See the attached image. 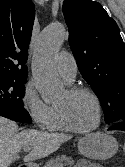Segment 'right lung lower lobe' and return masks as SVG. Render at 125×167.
Instances as JSON below:
<instances>
[{"label":"right lung lower lobe","mask_w":125,"mask_h":167,"mask_svg":"<svg viewBox=\"0 0 125 167\" xmlns=\"http://www.w3.org/2000/svg\"><path fill=\"white\" fill-rule=\"evenodd\" d=\"M0 116L19 122H31L29 113L19 106H14L6 102H0Z\"/></svg>","instance_id":"98d812e1"}]
</instances>
